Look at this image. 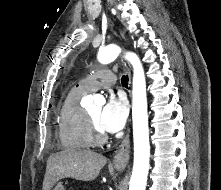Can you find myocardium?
I'll use <instances>...</instances> for the list:
<instances>
[{
    "label": "myocardium",
    "mask_w": 221,
    "mask_h": 190,
    "mask_svg": "<svg viewBox=\"0 0 221 190\" xmlns=\"http://www.w3.org/2000/svg\"><path fill=\"white\" fill-rule=\"evenodd\" d=\"M86 115V128L89 144L91 145H100L107 140V136L104 132L99 130L93 123L89 112H85Z\"/></svg>",
    "instance_id": "myocardium-1"
}]
</instances>
